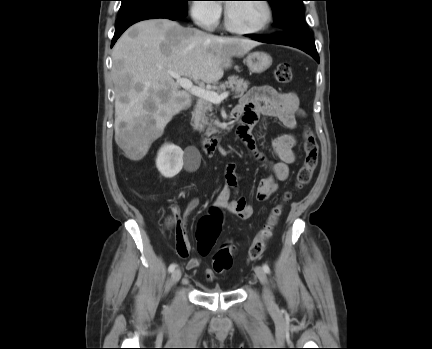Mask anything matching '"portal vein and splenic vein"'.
Segmentation results:
<instances>
[{
  "label": "portal vein and splenic vein",
  "mask_w": 432,
  "mask_h": 349,
  "mask_svg": "<svg viewBox=\"0 0 432 349\" xmlns=\"http://www.w3.org/2000/svg\"><path fill=\"white\" fill-rule=\"evenodd\" d=\"M169 75L176 79V82L182 88L190 91L193 95H196L200 98L206 99L210 102L220 104L225 98L229 96V91H224L221 94H218L214 91L207 90L203 87L193 85L191 80L186 77H182L180 74L169 71Z\"/></svg>",
  "instance_id": "1"
}]
</instances>
